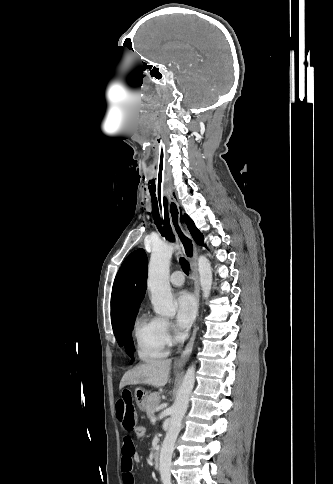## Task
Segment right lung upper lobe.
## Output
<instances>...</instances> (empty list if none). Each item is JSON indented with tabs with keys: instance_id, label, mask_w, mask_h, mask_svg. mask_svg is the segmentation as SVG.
<instances>
[{
	"instance_id": "obj_1",
	"label": "right lung upper lobe",
	"mask_w": 333,
	"mask_h": 484,
	"mask_svg": "<svg viewBox=\"0 0 333 484\" xmlns=\"http://www.w3.org/2000/svg\"><path fill=\"white\" fill-rule=\"evenodd\" d=\"M147 264L145 251L138 249L126 258L118 271L111 295L113 329L138 311L146 291Z\"/></svg>"
}]
</instances>
